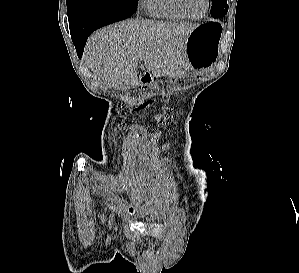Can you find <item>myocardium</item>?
Masks as SVG:
<instances>
[{"instance_id": "f54148a6", "label": "myocardium", "mask_w": 299, "mask_h": 273, "mask_svg": "<svg viewBox=\"0 0 299 273\" xmlns=\"http://www.w3.org/2000/svg\"><path fill=\"white\" fill-rule=\"evenodd\" d=\"M176 1H177V5H178L179 9L187 16V18L192 19V20L202 19L207 14L209 7H210V0H205L206 6H205L204 12L200 16H192L187 11V9L184 5V0H176Z\"/></svg>"}]
</instances>
